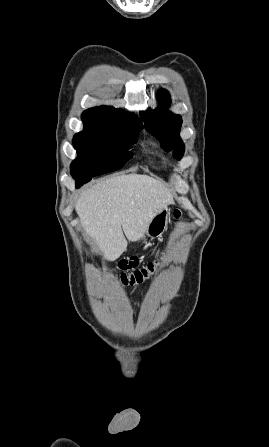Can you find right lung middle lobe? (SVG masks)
Instances as JSON below:
<instances>
[{
	"label": "right lung middle lobe",
	"mask_w": 269,
	"mask_h": 447,
	"mask_svg": "<svg viewBox=\"0 0 269 447\" xmlns=\"http://www.w3.org/2000/svg\"><path fill=\"white\" fill-rule=\"evenodd\" d=\"M140 128L84 122V130L73 138L78 154L70 166L73 178L87 180L123 167L132 157L128 149L136 143Z\"/></svg>",
	"instance_id": "dd1d6c3e"
}]
</instances>
